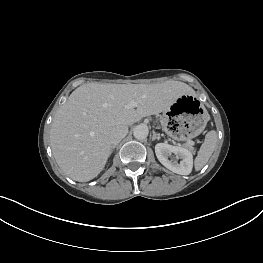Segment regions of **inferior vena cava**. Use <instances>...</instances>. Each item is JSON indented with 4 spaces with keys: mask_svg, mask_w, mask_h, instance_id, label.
<instances>
[{
    "mask_svg": "<svg viewBox=\"0 0 263 263\" xmlns=\"http://www.w3.org/2000/svg\"><path fill=\"white\" fill-rule=\"evenodd\" d=\"M128 133L127 126L116 127L110 134V143L113 146H116Z\"/></svg>",
    "mask_w": 263,
    "mask_h": 263,
    "instance_id": "obj_1",
    "label": "inferior vena cava"
}]
</instances>
